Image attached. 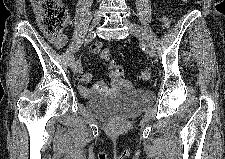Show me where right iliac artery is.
Wrapping results in <instances>:
<instances>
[{"instance_id":"right-iliac-artery-1","label":"right iliac artery","mask_w":225,"mask_h":159,"mask_svg":"<svg viewBox=\"0 0 225 159\" xmlns=\"http://www.w3.org/2000/svg\"><path fill=\"white\" fill-rule=\"evenodd\" d=\"M96 37V33L95 32H90L86 38L84 39V45L89 44L94 38ZM75 62V57H73L71 59V63L70 65H72Z\"/></svg>"}]
</instances>
